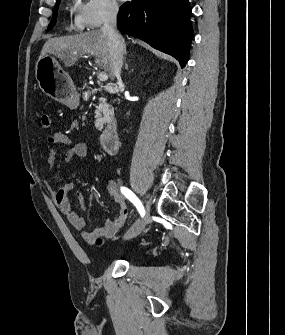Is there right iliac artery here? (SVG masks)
<instances>
[{"instance_id":"right-iliac-artery-1","label":"right iliac artery","mask_w":285,"mask_h":335,"mask_svg":"<svg viewBox=\"0 0 285 335\" xmlns=\"http://www.w3.org/2000/svg\"><path fill=\"white\" fill-rule=\"evenodd\" d=\"M121 192L127 199H129L136 206L140 215L142 217H144V215H145L144 207H143L141 201L136 197V195L130 189H128L126 187H121Z\"/></svg>"}]
</instances>
